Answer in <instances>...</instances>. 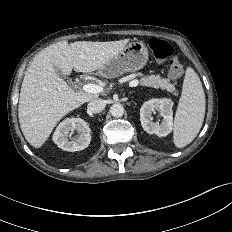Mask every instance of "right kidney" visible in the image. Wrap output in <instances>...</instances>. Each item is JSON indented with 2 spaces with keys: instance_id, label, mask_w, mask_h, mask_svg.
Returning <instances> with one entry per match:
<instances>
[{
  "instance_id": "obj_1",
  "label": "right kidney",
  "mask_w": 232,
  "mask_h": 232,
  "mask_svg": "<svg viewBox=\"0 0 232 232\" xmlns=\"http://www.w3.org/2000/svg\"><path fill=\"white\" fill-rule=\"evenodd\" d=\"M76 130L78 135L73 139H68L69 132ZM91 130L87 122L81 118H67L56 128L53 141L64 151H80L88 147L91 141Z\"/></svg>"
}]
</instances>
